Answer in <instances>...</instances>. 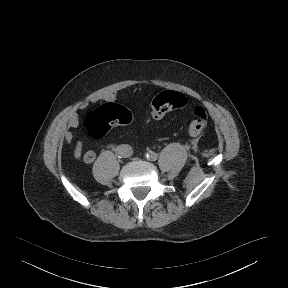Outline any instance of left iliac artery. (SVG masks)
I'll return each instance as SVG.
<instances>
[{
    "mask_svg": "<svg viewBox=\"0 0 288 288\" xmlns=\"http://www.w3.org/2000/svg\"><path fill=\"white\" fill-rule=\"evenodd\" d=\"M145 157H146V159H148L150 161H155V160H157L158 155L153 151H149L146 153Z\"/></svg>",
    "mask_w": 288,
    "mask_h": 288,
    "instance_id": "1",
    "label": "left iliac artery"
}]
</instances>
